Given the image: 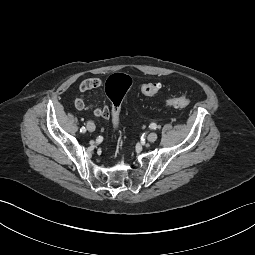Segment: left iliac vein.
Masks as SVG:
<instances>
[{
	"label": "left iliac vein",
	"instance_id": "1",
	"mask_svg": "<svg viewBox=\"0 0 255 255\" xmlns=\"http://www.w3.org/2000/svg\"><path fill=\"white\" fill-rule=\"evenodd\" d=\"M158 135L155 132H151L148 136L147 139L149 142H154L157 139Z\"/></svg>",
	"mask_w": 255,
	"mask_h": 255
}]
</instances>
